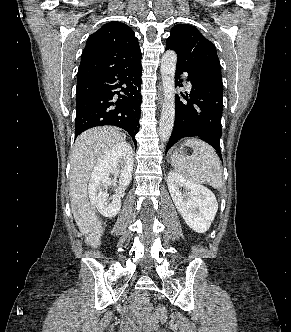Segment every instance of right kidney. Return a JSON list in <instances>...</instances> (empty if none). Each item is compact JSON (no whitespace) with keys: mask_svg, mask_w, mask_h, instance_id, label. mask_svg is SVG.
<instances>
[{"mask_svg":"<svg viewBox=\"0 0 291 332\" xmlns=\"http://www.w3.org/2000/svg\"><path fill=\"white\" fill-rule=\"evenodd\" d=\"M133 170V151L127 143H119L102 155L95 165L89 181V197L91 203L105 217H115L121 208V197L130 184ZM110 175L118 178L119 186L110 197L107 187L115 184ZM110 200H112L110 202Z\"/></svg>","mask_w":291,"mask_h":332,"instance_id":"ca27d5eb","label":"right kidney"}]
</instances>
